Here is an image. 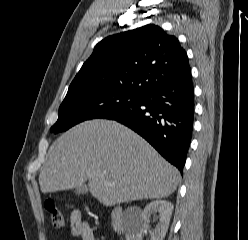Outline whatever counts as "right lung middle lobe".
Here are the masks:
<instances>
[{
  "label": "right lung middle lobe",
  "instance_id": "dd1d6c3e",
  "mask_svg": "<svg viewBox=\"0 0 248 240\" xmlns=\"http://www.w3.org/2000/svg\"><path fill=\"white\" fill-rule=\"evenodd\" d=\"M144 95L119 89L84 88L68 90L59 108L52 132L66 131L85 120L107 118L137 104Z\"/></svg>",
  "mask_w": 248,
  "mask_h": 240
}]
</instances>
